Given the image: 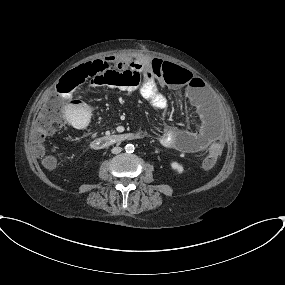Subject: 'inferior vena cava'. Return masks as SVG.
I'll use <instances>...</instances> for the list:
<instances>
[{
	"instance_id": "1",
	"label": "inferior vena cava",
	"mask_w": 285,
	"mask_h": 285,
	"mask_svg": "<svg viewBox=\"0 0 285 285\" xmlns=\"http://www.w3.org/2000/svg\"><path fill=\"white\" fill-rule=\"evenodd\" d=\"M111 151L113 154H118L122 151V148L121 147H114Z\"/></svg>"
}]
</instances>
